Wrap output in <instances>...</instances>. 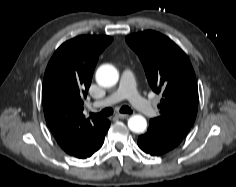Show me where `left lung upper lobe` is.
Returning <instances> with one entry per match:
<instances>
[{
	"instance_id": "1",
	"label": "left lung upper lobe",
	"mask_w": 236,
	"mask_h": 187,
	"mask_svg": "<svg viewBox=\"0 0 236 187\" xmlns=\"http://www.w3.org/2000/svg\"><path fill=\"white\" fill-rule=\"evenodd\" d=\"M125 39L138 54L150 87L163 96L160 115L150 122L185 137L198 108L197 81L189 58L172 40L152 30Z\"/></svg>"
}]
</instances>
